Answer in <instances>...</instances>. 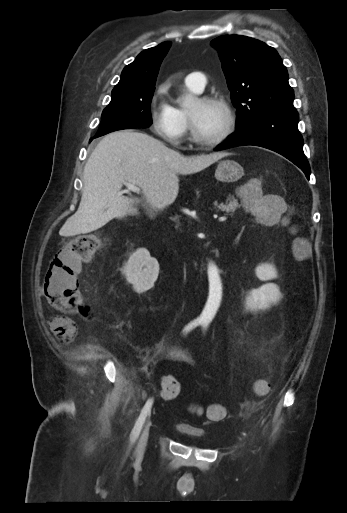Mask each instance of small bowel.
<instances>
[{
    "instance_id": "small-bowel-1",
    "label": "small bowel",
    "mask_w": 347,
    "mask_h": 513,
    "mask_svg": "<svg viewBox=\"0 0 347 513\" xmlns=\"http://www.w3.org/2000/svg\"><path fill=\"white\" fill-rule=\"evenodd\" d=\"M50 330L53 335L58 339L61 344H70L77 335V328L73 321L65 316H53L49 319ZM163 344H158L152 350L151 355L154 358H159L166 355L172 361L191 364L193 363L192 356L176 347L164 348Z\"/></svg>"
}]
</instances>
